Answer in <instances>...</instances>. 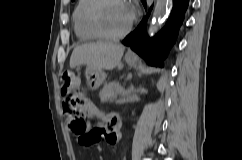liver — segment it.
<instances>
[{
  "label": "liver",
  "instance_id": "liver-1",
  "mask_svg": "<svg viewBox=\"0 0 242 160\" xmlns=\"http://www.w3.org/2000/svg\"><path fill=\"white\" fill-rule=\"evenodd\" d=\"M124 46L111 42L87 43L76 47L70 57V68L86 65L87 69L112 70L120 65Z\"/></svg>",
  "mask_w": 242,
  "mask_h": 160
}]
</instances>
